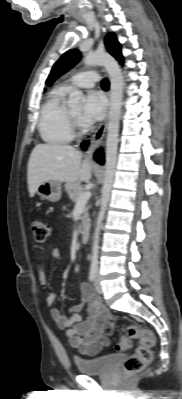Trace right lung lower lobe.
Masks as SVG:
<instances>
[{"label": "right lung lower lobe", "instance_id": "1", "mask_svg": "<svg viewBox=\"0 0 182 399\" xmlns=\"http://www.w3.org/2000/svg\"><path fill=\"white\" fill-rule=\"evenodd\" d=\"M88 144H89V142H84L83 143V149H85L87 146H88ZM95 159H96V161L98 162V163H100V164H103V162H104V156H103V154H102V152L100 151V150H98L96 153H95Z\"/></svg>", "mask_w": 182, "mask_h": 399}]
</instances>
